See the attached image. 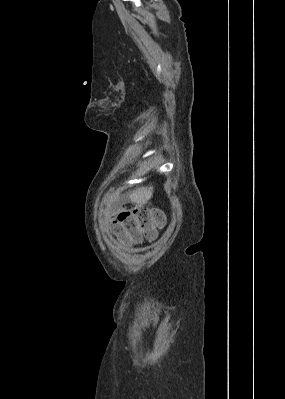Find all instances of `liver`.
Returning a JSON list of instances; mask_svg holds the SVG:
<instances>
[{
  "mask_svg": "<svg viewBox=\"0 0 285 399\" xmlns=\"http://www.w3.org/2000/svg\"><path fill=\"white\" fill-rule=\"evenodd\" d=\"M153 197L152 186H142L129 193V199L132 203L143 206Z\"/></svg>",
  "mask_w": 285,
  "mask_h": 399,
  "instance_id": "liver-1",
  "label": "liver"
}]
</instances>
